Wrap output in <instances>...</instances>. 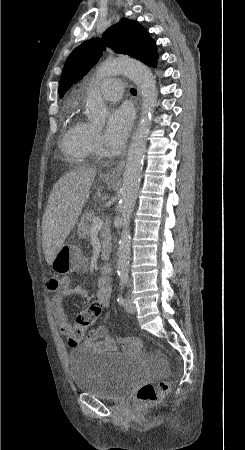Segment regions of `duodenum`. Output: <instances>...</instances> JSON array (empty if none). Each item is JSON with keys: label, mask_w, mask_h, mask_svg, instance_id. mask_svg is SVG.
Returning <instances> with one entry per match:
<instances>
[{"label": "duodenum", "mask_w": 245, "mask_h": 450, "mask_svg": "<svg viewBox=\"0 0 245 450\" xmlns=\"http://www.w3.org/2000/svg\"><path fill=\"white\" fill-rule=\"evenodd\" d=\"M113 266L111 262H106L101 267V272L106 275H110L112 273Z\"/></svg>", "instance_id": "1"}]
</instances>
